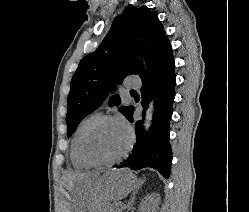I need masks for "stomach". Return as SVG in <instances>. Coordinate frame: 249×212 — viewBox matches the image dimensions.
<instances>
[{
	"label": "stomach",
	"instance_id": "stomach-1",
	"mask_svg": "<svg viewBox=\"0 0 249 212\" xmlns=\"http://www.w3.org/2000/svg\"><path fill=\"white\" fill-rule=\"evenodd\" d=\"M95 175H84L75 184L70 202L74 212H97L99 205L110 204V199L123 198V193H132L130 176L126 170H95Z\"/></svg>",
	"mask_w": 249,
	"mask_h": 212
}]
</instances>
